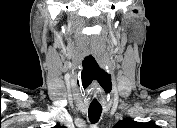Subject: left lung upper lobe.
<instances>
[{"mask_svg": "<svg viewBox=\"0 0 177 128\" xmlns=\"http://www.w3.org/2000/svg\"><path fill=\"white\" fill-rule=\"evenodd\" d=\"M143 123H139V122H135L131 119H123L121 121H119L115 127L116 128H136L137 126H140Z\"/></svg>", "mask_w": 177, "mask_h": 128, "instance_id": "left-lung-upper-lobe-1", "label": "left lung upper lobe"}]
</instances>
